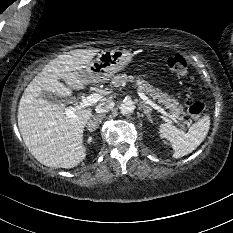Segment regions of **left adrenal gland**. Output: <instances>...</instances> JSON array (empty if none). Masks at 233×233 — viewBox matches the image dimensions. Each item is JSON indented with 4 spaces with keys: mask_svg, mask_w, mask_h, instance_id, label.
Wrapping results in <instances>:
<instances>
[{
    "mask_svg": "<svg viewBox=\"0 0 233 233\" xmlns=\"http://www.w3.org/2000/svg\"><path fill=\"white\" fill-rule=\"evenodd\" d=\"M140 108L143 109L144 114L146 115V117L149 119L150 122H152V118H151V108L149 106H147L145 103L140 102Z\"/></svg>",
    "mask_w": 233,
    "mask_h": 233,
    "instance_id": "1",
    "label": "left adrenal gland"
}]
</instances>
